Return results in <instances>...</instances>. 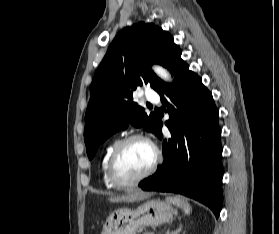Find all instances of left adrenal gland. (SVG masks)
<instances>
[{"instance_id":"left-adrenal-gland-1","label":"left adrenal gland","mask_w":279,"mask_h":234,"mask_svg":"<svg viewBox=\"0 0 279 234\" xmlns=\"http://www.w3.org/2000/svg\"><path fill=\"white\" fill-rule=\"evenodd\" d=\"M181 229L182 225H179V227L173 232H170V229H167L166 234H178L181 231Z\"/></svg>"}]
</instances>
